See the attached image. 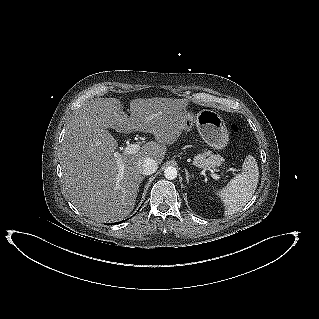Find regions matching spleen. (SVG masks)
Instances as JSON below:
<instances>
[{
  "label": "spleen",
  "instance_id": "3e777b00",
  "mask_svg": "<svg viewBox=\"0 0 319 319\" xmlns=\"http://www.w3.org/2000/svg\"><path fill=\"white\" fill-rule=\"evenodd\" d=\"M258 182L257 162L253 156L248 155L242 165V172L215 193L223 202L226 216L237 213L250 201Z\"/></svg>",
  "mask_w": 319,
  "mask_h": 319
}]
</instances>
